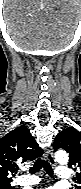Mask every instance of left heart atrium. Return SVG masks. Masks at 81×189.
Returning a JSON list of instances; mask_svg holds the SVG:
<instances>
[{"mask_svg":"<svg viewBox=\"0 0 81 189\" xmlns=\"http://www.w3.org/2000/svg\"><path fill=\"white\" fill-rule=\"evenodd\" d=\"M46 189H54L53 187H48V188H46Z\"/></svg>","mask_w":81,"mask_h":189,"instance_id":"39dd6f15","label":"left heart atrium"}]
</instances>
